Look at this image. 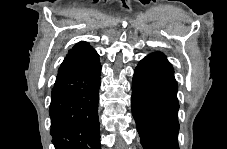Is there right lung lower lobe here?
<instances>
[{"mask_svg":"<svg viewBox=\"0 0 227 149\" xmlns=\"http://www.w3.org/2000/svg\"><path fill=\"white\" fill-rule=\"evenodd\" d=\"M100 74L99 56L58 72L49 108L55 149H100Z\"/></svg>","mask_w":227,"mask_h":149,"instance_id":"obj_1","label":"right lung lower lobe"}]
</instances>
